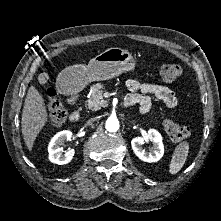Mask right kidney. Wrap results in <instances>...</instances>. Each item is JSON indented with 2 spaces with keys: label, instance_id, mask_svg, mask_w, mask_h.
I'll use <instances>...</instances> for the list:
<instances>
[{
  "label": "right kidney",
  "instance_id": "right-kidney-1",
  "mask_svg": "<svg viewBox=\"0 0 221 221\" xmlns=\"http://www.w3.org/2000/svg\"><path fill=\"white\" fill-rule=\"evenodd\" d=\"M72 138V132L69 130H63L61 132H58L49 142L48 145V152H49V160L52 163L58 164V165H64L69 163L75 154L74 150H68L65 151V153H62V149L60 148V145L63 144L66 140H71Z\"/></svg>",
  "mask_w": 221,
  "mask_h": 221
}]
</instances>
